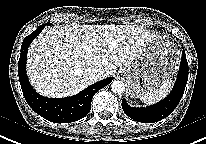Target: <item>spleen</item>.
Masks as SVG:
<instances>
[{"label": "spleen", "instance_id": "3e777b00", "mask_svg": "<svg viewBox=\"0 0 206 144\" xmlns=\"http://www.w3.org/2000/svg\"><path fill=\"white\" fill-rule=\"evenodd\" d=\"M173 81L169 80L161 85L159 88L143 94L140 100L148 105L155 104L165 98L172 88Z\"/></svg>", "mask_w": 206, "mask_h": 144}]
</instances>
